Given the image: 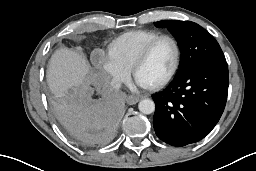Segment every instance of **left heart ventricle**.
Segmentation results:
<instances>
[{"label":"left heart ventricle","mask_w":256,"mask_h":171,"mask_svg":"<svg viewBox=\"0 0 256 171\" xmlns=\"http://www.w3.org/2000/svg\"><path fill=\"white\" fill-rule=\"evenodd\" d=\"M174 57L175 50L172 42L167 39L160 41L138 69L136 79L146 86L160 82L172 69Z\"/></svg>","instance_id":"1"}]
</instances>
